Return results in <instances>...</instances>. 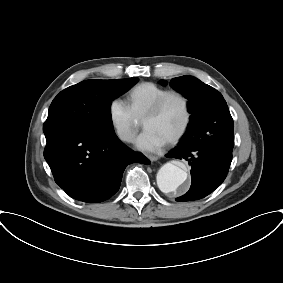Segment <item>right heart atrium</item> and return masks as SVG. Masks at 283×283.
<instances>
[{"label": "right heart atrium", "mask_w": 283, "mask_h": 283, "mask_svg": "<svg viewBox=\"0 0 283 283\" xmlns=\"http://www.w3.org/2000/svg\"><path fill=\"white\" fill-rule=\"evenodd\" d=\"M108 117L113 131L120 140L131 142L134 139L139 129V121L128 104L119 98L113 99L109 104Z\"/></svg>", "instance_id": "obj_1"}]
</instances>
